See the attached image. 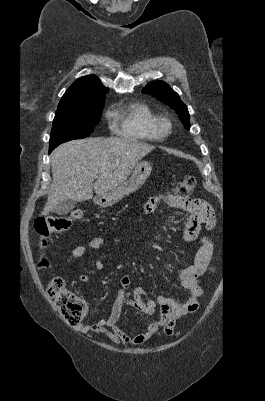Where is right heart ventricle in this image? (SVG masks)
Here are the masks:
<instances>
[{
    "instance_id": "1",
    "label": "right heart ventricle",
    "mask_w": 265,
    "mask_h": 401,
    "mask_svg": "<svg viewBox=\"0 0 265 401\" xmlns=\"http://www.w3.org/2000/svg\"><path fill=\"white\" fill-rule=\"evenodd\" d=\"M112 115L120 116L121 131L131 137L159 139L156 124L160 116L145 102L125 96L112 107Z\"/></svg>"
}]
</instances>
